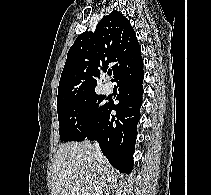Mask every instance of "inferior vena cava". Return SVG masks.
<instances>
[{
    "label": "inferior vena cava",
    "instance_id": "inferior-vena-cava-1",
    "mask_svg": "<svg viewBox=\"0 0 211 195\" xmlns=\"http://www.w3.org/2000/svg\"><path fill=\"white\" fill-rule=\"evenodd\" d=\"M95 149H96V158L98 161H103L104 160V156L100 150V147L98 145V143H95ZM98 186H97V193L96 195H103V189L105 187V179L104 176H102L101 180L97 182Z\"/></svg>",
    "mask_w": 211,
    "mask_h": 195
}]
</instances>
